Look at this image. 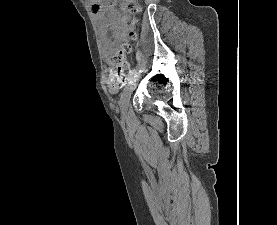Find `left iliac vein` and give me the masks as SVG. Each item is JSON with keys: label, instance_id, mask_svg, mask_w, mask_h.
<instances>
[{"label": "left iliac vein", "instance_id": "obj_1", "mask_svg": "<svg viewBox=\"0 0 277 225\" xmlns=\"http://www.w3.org/2000/svg\"><path fill=\"white\" fill-rule=\"evenodd\" d=\"M139 75H136L134 77H132L130 79V81L127 83V85L125 86L122 94H121V98H120V102H119V106H120V110L121 113L123 115H125L127 113L128 107H129V102H130V98L131 95L136 87V83L139 80Z\"/></svg>", "mask_w": 277, "mask_h": 225}]
</instances>
